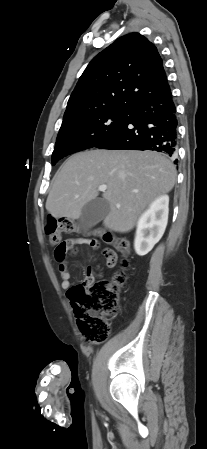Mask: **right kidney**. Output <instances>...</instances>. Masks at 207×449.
<instances>
[{
    "instance_id": "ca27d5eb",
    "label": "right kidney",
    "mask_w": 207,
    "mask_h": 449,
    "mask_svg": "<svg viewBox=\"0 0 207 449\" xmlns=\"http://www.w3.org/2000/svg\"><path fill=\"white\" fill-rule=\"evenodd\" d=\"M168 206V195H161L139 218L134 241V248L139 256L150 252L163 236L168 222Z\"/></svg>"
}]
</instances>
